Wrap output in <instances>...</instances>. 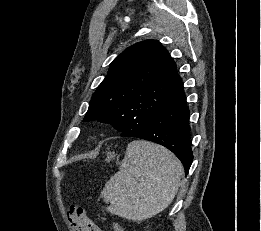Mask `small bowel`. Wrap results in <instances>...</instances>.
<instances>
[{"instance_id": "1", "label": "small bowel", "mask_w": 261, "mask_h": 231, "mask_svg": "<svg viewBox=\"0 0 261 231\" xmlns=\"http://www.w3.org/2000/svg\"><path fill=\"white\" fill-rule=\"evenodd\" d=\"M71 231H81L80 227L70 223ZM89 231H104L103 228L93 223V227Z\"/></svg>"}]
</instances>
